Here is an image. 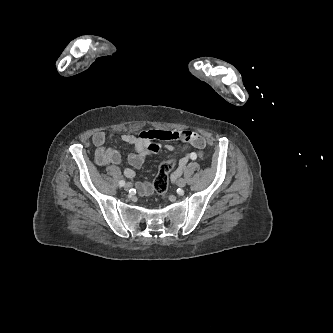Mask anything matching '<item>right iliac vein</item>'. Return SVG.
I'll return each instance as SVG.
<instances>
[{
  "label": "right iliac vein",
  "mask_w": 333,
  "mask_h": 333,
  "mask_svg": "<svg viewBox=\"0 0 333 333\" xmlns=\"http://www.w3.org/2000/svg\"><path fill=\"white\" fill-rule=\"evenodd\" d=\"M131 187H132V184L131 183H127V184H125L124 189L126 191H129Z\"/></svg>",
  "instance_id": "63e3f726"
}]
</instances>
